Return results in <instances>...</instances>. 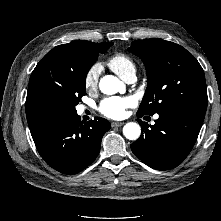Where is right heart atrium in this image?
I'll list each match as a JSON object with an SVG mask.
<instances>
[{
  "label": "right heart atrium",
  "instance_id": "obj_1",
  "mask_svg": "<svg viewBox=\"0 0 221 221\" xmlns=\"http://www.w3.org/2000/svg\"><path fill=\"white\" fill-rule=\"evenodd\" d=\"M101 72V66L98 63L93 64L84 76V87L86 90H94L98 85V79Z\"/></svg>",
  "mask_w": 221,
  "mask_h": 221
}]
</instances>
